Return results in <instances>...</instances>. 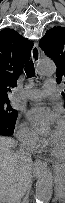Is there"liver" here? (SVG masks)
I'll return each instance as SVG.
<instances>
[{
	"mask_svg": "<svg viewBox=\"0 0 65 203\" xmlns=\"http://www.w3.org/2000/svg\"><path fill=\"white\" fill-rule=\"evenodd\" d=\"M14 140L0 137V201L11 203L13 194L21 184L25 188L30 180L33 162L21 159L11 150Z\"/></svg>",
	"mask_w": 65,
	"mask_h": 203,
	"instance_id": "obj_1",
	"label": "liver"
}]
</instances>
